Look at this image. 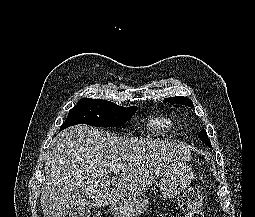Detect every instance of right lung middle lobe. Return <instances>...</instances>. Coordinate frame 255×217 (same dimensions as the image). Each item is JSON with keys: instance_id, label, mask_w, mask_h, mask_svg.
<instances>
[{"instance_id": "right-lung-middle-lobe-1", "label": "right lung middle lobe", "mask_w": 255, "mask_h": 217, "mask_svg": "<svg viewBox=\"0 0 255 217\" xmlns=\"http://www.w3.org/2000/svg\"><path fill=\"white\" fill-rule=\"evenodd\" d=\"M136 109V106L126 108L107 100L83 98L69 111L60 130L76 124L117 127L131 119Z\"/></svg>"}]
</instances>
